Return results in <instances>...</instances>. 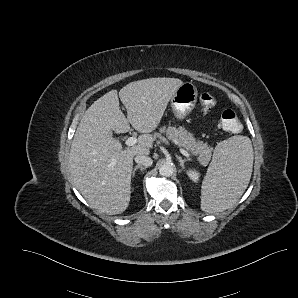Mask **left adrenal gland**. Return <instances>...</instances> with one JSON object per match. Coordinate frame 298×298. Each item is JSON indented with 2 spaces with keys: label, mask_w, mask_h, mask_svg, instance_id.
Listing matches in <instances>:
<instances>
[{
  "label": "left adrenal gland",
  "mask_w": 298,
  "mask_h": 298,
  "mask_svg": "<svg viewBox=\"0 0 298 298\" xmlns=\"http://www.w3.org/2000/svg\"><path fill=\"white\" fill-rule=\"evenodd\" d=\"M176 158L178 159V161H179V163H180V166H181V168H183V167H184V162H185V161H190V160H191V158H190V157H185V158H182V157H180V155H178V154H176Z\"/></svg>",
  "instance_id": "a2214340"
}]
</instances>
